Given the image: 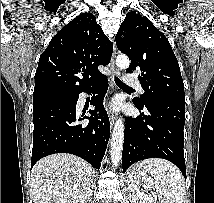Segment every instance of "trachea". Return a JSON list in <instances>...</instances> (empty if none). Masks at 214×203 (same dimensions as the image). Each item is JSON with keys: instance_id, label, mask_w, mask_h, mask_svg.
Listing matches in <instances>:
<instances>
[{"instance_id": "obj_1", "label": "trachea", "mask_w": 214, "mask_h": 203, "mask_svg": "<svg viewBox=\"0 0 214 203\" xmlns=\"http://www.w3.org/2000/svg\"><path fill=\"white\" fill-rule=\"evenodd\" d=\"M115 83H116L119 87L133 90L132 88L128 87L125 83H123V82H122L119 78H117V77H115Z\"/></svg>"}]
</instances>
